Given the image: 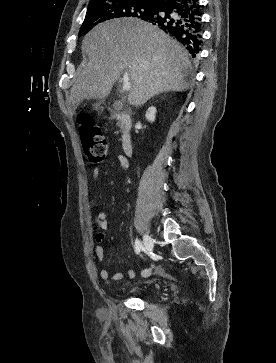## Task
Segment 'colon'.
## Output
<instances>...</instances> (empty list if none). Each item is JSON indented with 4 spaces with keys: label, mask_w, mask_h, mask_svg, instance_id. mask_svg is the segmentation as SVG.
<instances>
[{
    "label": "colon",
    "mask_w": 276,
    "mask_h": 363,
    "mask_svg": "<svg viewBox=\"0 0 276 363\" xmlns=\"http://www.w3.org/2000/svg\"><path fill=\"white\" fill-rule=\"evenodd\" d=\"M80 136L84 153L90 162H99L105 158L108 151L107 141L89 116L81 118Z\"/></svg>",
    "instance_id": "5ec220e1"
}]
</instances>
